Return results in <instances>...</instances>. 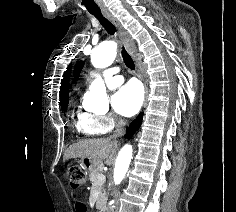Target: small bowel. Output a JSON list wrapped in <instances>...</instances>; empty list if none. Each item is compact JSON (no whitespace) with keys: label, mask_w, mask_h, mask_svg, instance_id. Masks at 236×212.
<instances>
[{"label":"small bowel","mask_w":236,"mask_h":212,"mask_svg":"<svg viewBox=\"0 0 236 212\" xmlns=\"http://www.w3.org/2000/svg\"><path fill=\"white\" fill-rule=\"evenodd\" d=\"M72 194H75V191H72ZM71 202H74V212H90V209H88V205H82L88 204V199H78V197H71Z\"/></svg>","instance_id":"small-bowel-1"}]
</instances>
